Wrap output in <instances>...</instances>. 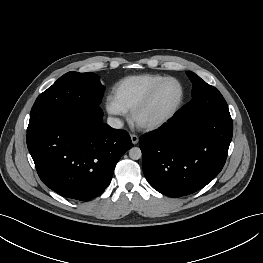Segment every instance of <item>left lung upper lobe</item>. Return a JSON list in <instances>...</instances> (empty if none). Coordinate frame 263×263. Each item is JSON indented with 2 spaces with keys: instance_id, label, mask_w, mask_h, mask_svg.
I'll return each mask as SVG.
<instances>
[{
  "instance_id": "1",
  "label": "left lung upper lobe",
  "mask_w": 263,
  "mask_h": 263,
  "mask_svg": "<svg viewBox=\"0 0 263 263\" xmlns=\"http://www.w3.org/2000/svg\"><path fill=\"white\" fill-rule=\"evenodd\" d=\"M186 74L193 83V98L175 114L183 126L209 116L230 114L227 103L215 87L207 84L191 71H187Z\"/></svg>"
}]
</instances>
